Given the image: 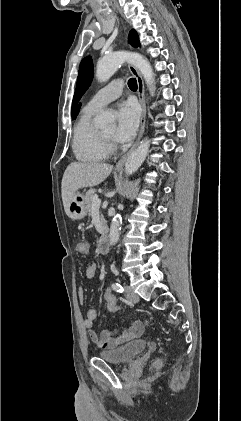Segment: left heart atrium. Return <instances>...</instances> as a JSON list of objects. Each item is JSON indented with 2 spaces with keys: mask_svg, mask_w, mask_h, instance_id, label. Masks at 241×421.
Instances as JSON below:
<instances>
[{
  "mask_svg": "<svg viewBox=\"0 0 241 421\" xmlns=\"http://www.w3.org/2000/svg\"><path fill=\"white\" fill-rule=\"evenodd\" d=\"M140 112L133 101L122 102L118 107V124L114 133L119 143H127L134 137L139 125Z\"/></svg>",
  "mask_w": 241,
  "mask_h": 421,
  "instance_id": "39dd6f15",
  "label": "left heart atrium"
}]
</instances>
